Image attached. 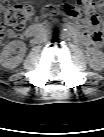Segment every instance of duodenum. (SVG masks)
<instances>
[{
  "mask_svg": "<svg viewBox=\"0 0 104 137\" xmlns=\"http://www.w3.org/2000/svg\"><path fill=\"white\" fill-rule=\"evenodd\" d=\"M40 31V27L39 26H32L31 28H29L26 32H25V36L26 37H33L34 35L38 34ZM84 36H81V39H83Z\"/></svg>",
  "mask_w": 104,
  "mask_h": 137,
  "instance_id": "duodenum-1",
  "label": "duodenum"
}]
</instances>
